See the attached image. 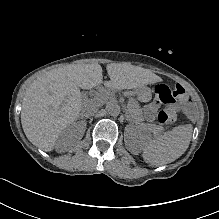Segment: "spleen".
I'll list each match as a JSON object with an SVG mask.
<instances>
[{
    "label": "spleen",
    "instance_id": "1",
    "mask_svg": "<svg viewBox=\"0 0 219 219\" xmlns=\"http://www.w3.org/2000/svg\"><path fill=\"white\" fill-rule=\"evenodd\" d=\"M192 132L191 124L179 125L163 134L156 133L154 139L141 141L143 159L153 166L175 161L187 150Z\"/></svg>",
    "mask_w": 219,
    "mask_h": 219
}]
</instances>
